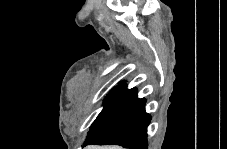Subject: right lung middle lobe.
I'll return each instance as SVG.
<instances>
[{
	"label": "right lung middle lobe",
	"mask_w": 227,
	"mask_h": 149,
	"mask_svg": "<svg viewBox=\"0 0 227 149\" xmlns=\"http://www.w3.org/2000/svg\"><path fill=\"white\" fill-rule=\"evenodd\" d=\"M137 98L136 89H123V88H114L107 95L104 100V108L101 113L98 115L97 119L92 124L89 132L86 136V141L88 137L99 127L113 121L119 117ZM84 143V146L86 144Z\"/></svg>",
	"instance_id": "obj_1"
}]
</instances>
